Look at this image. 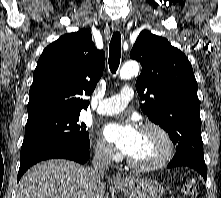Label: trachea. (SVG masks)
<instances>
[{
    "label": "trachea",
    "instance_id": "3493384b",
    "mask_svg": "<svg viewBox=\"0 0 221 198\" xmlns=\"http://www.w3.org/2000/svg\"><path fill=\"white\" fill-rule=\"evenodd\" d=\"M121 57V34L120 32L113 33L109 44V68L112 73H116Z\"/></svg>",
    "mask_w": 221,
    "mask_h": 198
}]
</instances>
